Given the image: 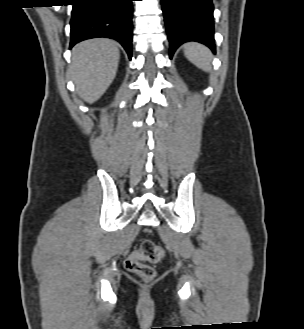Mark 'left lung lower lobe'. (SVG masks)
<instances>
[{
    "mask_svg": "<svg viewBox=\"0 0 304 329\" xmlns=\"http://www.w3.org/2000/svg\"><path fill=\"white\" fill-rule=\"evenodd\" d=\"M170 42V58L188 41H197L215 52L212 0H161Z\"/></svg>",
    "mask_w": 304,
    "mask_h": 329,
    "instance_id": "obj_1",
    "label": "left lung lower lobe"
}]
</instances>
